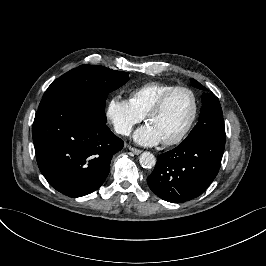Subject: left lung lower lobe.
<instances>
[{"mask_svg":"<svg viewBox=\"0 0 266 266\" xmlns=\"http://www.w3.org/2000/svg\"><path fill=\"white\" fill-rule=\"evenodd\" d=\"M224 147L225 137L207 135L161 154L147 178L150 189L172 203L198 197L215 179Z\"/></svg>","mask_w":266,"mask_h":266,"instance_id":"left-lung-lower-lobe-1","label":"left lung lower lobe"}]
</instances>
